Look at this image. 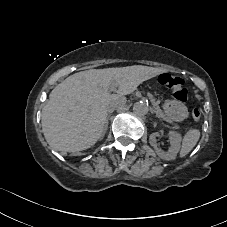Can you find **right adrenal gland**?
Wrapping results in <instances>:
<instances>
[{"label":"right adrenal gland","mask_w":227,"mask_h":227,"mask_svg":"<svg viewBox=\"0 0 227 227\" xmlns=\"http://www.w3.org/2000/svg\"><path fill=\"white\" fill-rule=\"evenodd\" d=\"M108 119H109V117H107V119H106V121H105L104 131H103V133H102V135H101V138L105 135V133H106V131H107V129H108Z\"/></svg>","instance_id":"right-adrenal-gland-1"}]
</instances>
